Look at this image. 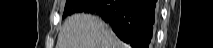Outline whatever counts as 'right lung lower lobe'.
I'll return each mask as SVG.
<instances>
[{
  "instance_id": "1",
  "label": "right lung lower lobe",
  "mask_w": 213,
  "mask_h": 48,
  "mask_svg": "<svg viewBox=\"0 0 213 48\" xmlns=\"http://www.w3.org/2000/svg\"><path fill=\"white\" fill-rule=\"evenodd\" d=\"M156 0H89L82 12L102 17L132 48H149Z\"/></svg>"
}]
</instances>
